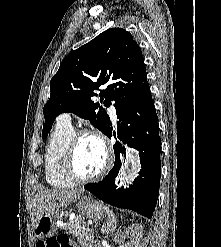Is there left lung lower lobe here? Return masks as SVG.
<instances>
[{
	"instance_id": "1",
	"label": "left lung lower lobe",
	"mask_w": 221,
	"mask_h": 247,
	"mask_svg": "<svg viewBox=\"0 0 221 247\" xmlns=\"http://www.w3.org/2000/svg\"><path fill=\"white\" fill-rule=\"evenodd\" d=\"M117 132L109 127L106 134L118 137L113 148L115 163L108 175L98 183L84 186L98 199L115 207L133 210L148 218L152 217L159 195L160 186V150L158 117L154 101L147 98L135 100L121 105L116 110ZM139 151L142 169L132 186L116 189L115 177L118 175L122 156L126 157V147Z\"/></svg>"
}]
</instances>
